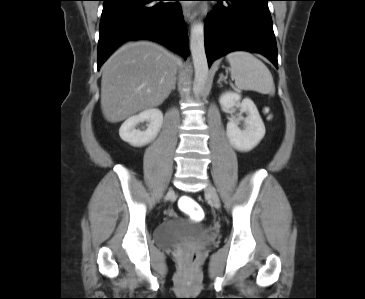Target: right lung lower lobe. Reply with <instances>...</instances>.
I'll return each mask as SVG.
<instances>
[{
  "mask_svg": "<svg viewBox=\"0 0 365 299\" xmlns=\"http://www.w3.org/2000/svg\"><path fill=\"white\" fill-rule=\"evenodd\" d=\"M98 43V69L124 42L147 39L184 58L187 31L179 0H103Z\"/></svg>",
  "mask_w": 365,
  "mask_h": 299,
  "instance_id": "1",
  "label": "right lung lower lobe"
}]
</instances>
